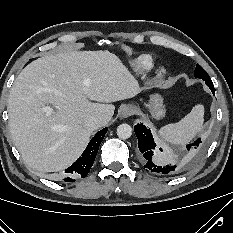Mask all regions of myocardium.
<instances>
[{"label": "myocardium", "mask_w": 233, "mask_h": 233, "mask_svg": "<svg viewBox=\"0 0 233 233\" xmlns=\"http://www.w3.org/2000/svg\"><path fill=\"white\" fill-rule=\"evenodd\" d=\"M156 73H157V77H159V78H161V77H163L165 74H166V69H165V67H159L158 69H157V71H156Z\"/></svg>", "instance_id": "obj_1"}]
</instances>
